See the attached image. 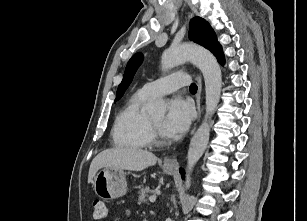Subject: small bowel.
<instances>
[{
  "mask_svg": "<svg viewBox=\"0 0 307 221\" xmlns=\"http://www.w3.org/2000/svg\"><path fill=\"white\" fill-rule=\"evenodd\" d=\"M126 214H127L128 216L130 215V213H129V212H127Z\"/></svg>",
  "mask_w": 307,
  "mask_h": 221,
  "instance_id": "c3829d8e",
  "label": "small bowel"
}]
</instances>
